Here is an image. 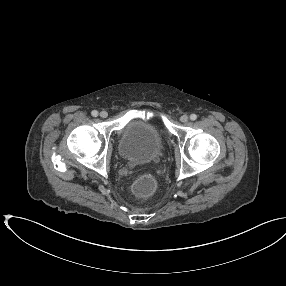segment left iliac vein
<instances>
[{"label": "left iliac vein", "instance_id": "left-iliac-vein-1", "mask_svg": "<svg viewBox=\"0 0 286 286\" xmlns=\"http://www.w3.org/2000/svg\"><path fill=\"white\" fill-rule=\"evenodd\" d=\"M188 116L187 115H182L181 117H180V121L182 122V123H186L187 121H188Z\"/></svg>", "mask_w": 286, "mask_h": 286}]
</instances>
